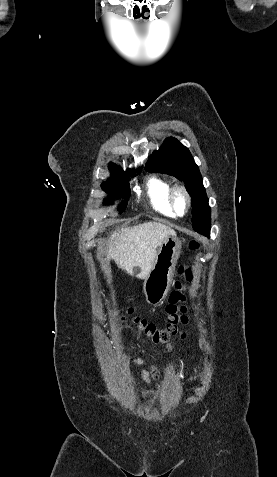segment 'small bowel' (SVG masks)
I'll list each match as a JSON object with an SVG mask.
<instances>
[{"label": "small bowel", "instance_id": "obj_1", "mask_svg": "<svg viewBox=\"0 0 277 477\" xmlns=\"http://www.w3.org/2000/svg\"><path fill=\"white\" fill-rule=\"evenodd\" d=\"M204 344L203 339L199 340V345L202 347ZM132 363L135 366H142L143 360L140 358H135L132 360ZM159 379V372L155 367H150L148 369H143L140 371V377H136L135 381L137 382H144V383H151L153 380Z\"/></svg>", "mask_w": 277, "mask_h": 477}]
</instances>
